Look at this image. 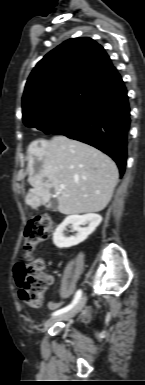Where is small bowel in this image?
Segmentation results:
<instances>
[{
	"mask_svg": "<svg viewBox=\"0 0 145 385\" xmlns=\"http://www.w3.org/2000/svg\"><path fill=\"white\" fill-rule=\"evenodd\" d=\"M49 279H50V284H53L54 278H53L52 276L49 275ZM63 303H64V301H60V302H49V303H48V307H49L50 309H55V308H58L59 306H61ZM89 312H90V308H87V309L83 312V314H82L83 320H87V319H88Z\"/></svg>",
	"mask_w": 145,
	"mask_h": 385,
	"instance_id": "obj_1",
	"label": "small bowel"
}]
</instances>
